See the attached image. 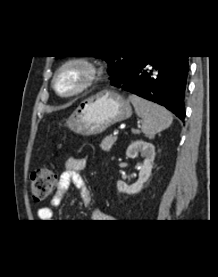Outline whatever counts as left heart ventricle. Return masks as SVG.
Here are the masks:
<instances>
[{"instance_id": "obj_1", "label": "left heart ventricle", "mask_w": 218, "mask_h": 277, "mask_svg": "<svg viewBox=\"0 0 218 277\" xmlns=\"http://www.w3.org/2000/svg\"><path fill=\"white\" fill-rule=\"evenodd\" d=\"M81 73L76 69L66 71L58 80V88L61 91L74 89L80 81Z\"/></svg>"}]
</instances>
